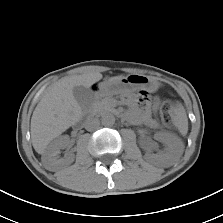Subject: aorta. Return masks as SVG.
<instances>
[{"label": "aorta", "instance_id": "aorta-1", "mask_svg": "<svg viewBox=\"0 0 223 223\" xmlns=\"http://www.w3.org/2000/svg\"><path fill=\"white\" fill-rule=\"evenodd\" d=\"M101 122L104 126H113L115 124V117L113 114H105L102 116Z\"/></svg>", "mask_w": 223, "mask_h": 223}]
</instances>
